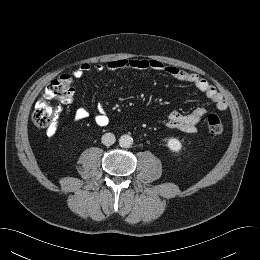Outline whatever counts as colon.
Returning <instances> with one entry per match:
<instances>
[{"instance_id": "1", "label": "colon", "mask_w": 260, "mask_h": 260, "mask_svg": "<svg viewBox=\"0 0 260 260\" xmlns=\"http://www.w3.org/2000/svg\"><path fill=\"white\" fill-rule=\"evenodd\" d=\"M74 87L73 80L69 75H61L52 80L45 88L43 98L40 99L35 107L32 120L35 126L49 130L53 133L56 129V122L59 117V108L53 105L67 104L73 100ZM207 130L212 136H220L224 126L220 117L210 114L206 119Z\"/></svg>"}]
</instances>
